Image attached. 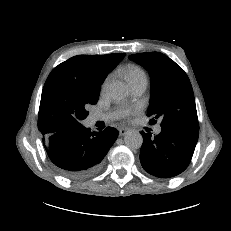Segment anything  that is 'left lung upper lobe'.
<instances>
[{"mask_svg": "<svg viewBox=\"0 0 231 231\" xmlns=\"http://www.w3.org/2000/svg\"><path fill=\"white\" fill-rule=\"evenodd\" d=\"M129 59L142 65L150 74V124L161 121V127L199 130L194 93L185 71L159 52L139 53Z\"/></svg>", "mask_w": 231, "mask_h": 231, "instance_id": "left-lung-upper-lobe-1", "label": "left lung upper lobe"}]
</instances>
